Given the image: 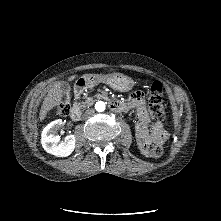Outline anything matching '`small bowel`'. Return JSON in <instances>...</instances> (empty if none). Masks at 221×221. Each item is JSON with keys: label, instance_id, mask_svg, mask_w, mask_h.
Wrapping results in <instances>:
<instances>
[{"label": "small bowel", "instance_id": "1", "mask_svg": "<svg viewBox=\"0 0 221 221\" xmlns=\"http://www.w3.org/2000/svg\"><path fill=\"white\" fill-rule=\"evenodd\" d=\"M129 108L134 109L137 114L136 139L143 154L148 155L152 143H163L168 133L159 121L151 122L145 105V97L140 89L132 93Z\"/></svg>", "mask_w": 221, "mask_h": 221}]
</instances>
